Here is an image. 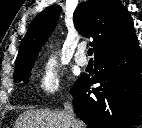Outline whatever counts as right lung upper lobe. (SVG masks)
Instances as JSON below:
<instances>
[{
  "mask_svg": "<svg viewBox=\"0 0 142 128\" xmlns=\"http://www.w3.org/2000/svg\"><path fill=\"white\" fill-rule=\"evenodd\" d=\"M60 5L40 12L32 21L16 59V65L36 59L58 21ZM77 31L92 37L95 60L126 49L137 40L133 21L119 0H89L78 6L73 15Z\"/></svg>",
  "mask_w": 142,
  "mask_h": 128,
  "instance_id": "cb5924a9",
  "label": "right lung upper lobe"
}]
</instances>
